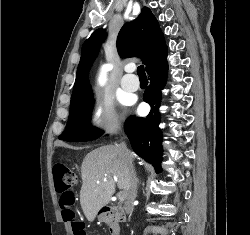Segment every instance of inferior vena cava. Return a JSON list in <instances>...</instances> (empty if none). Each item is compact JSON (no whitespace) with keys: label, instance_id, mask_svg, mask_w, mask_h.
<instances>
[{"label":"inferior vena cava","instance_id":"obj_1","mask_svg":"<svg viewBox=\"0 0 250 235\" xmlns=\"http://www.w3.org/2000/svg\"><path fill=\"white\" fill-rule=\"evenodd\" d=\"M118 152L121 160L123 163L127 166L129 177H130V183L127 190V197L124 205V209L126 213L131 214L133 211V202L137 195V177L136 172L133 166V157L130 153V151L127 149V146L125 142H121L118 146Z\"/></svg>","mask_w":250,"mask_h":235}]
</instances>
